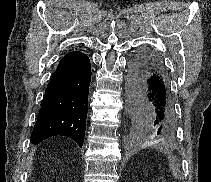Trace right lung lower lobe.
I'll return each instance as SVG.
<instances>
[{"label":"right lung lower lobe","mask_w":211,"mask_h":182,"mask_svg":"<svg viewBox=\"0 0 211 182\" xmlns=\"http://www.w3.org/2000/svg\"><path fill=\"white\" fill-rule=\"evenodd\" d=\"M91 67L81 52L66 54L59 62L45 91L31 142L63 135L79 147L84 142Z\"/></svg>","instance_id":"98d812e1"}]
</instances>
